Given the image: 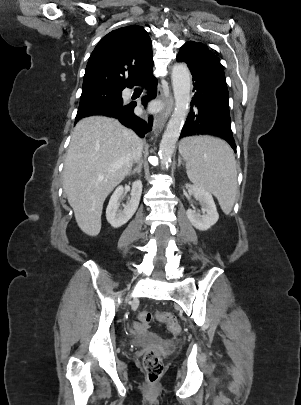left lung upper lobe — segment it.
<instances>
[{"label":"left lung upper lobe","instance_id":"obj_1","mask_svg":"<svg viewBox=\"0 0 301 405\" xmlns=\"http://www.w3.org/2000/svg\"><path fill=\"white\" fill-rule=\"evenodd\" d=\"M177 58L201 69L227 88L222 65L216 55L202 43L186 42L180 49Z\"/></svg>","mask_w":301,"mask_h":405}]
</instances>
